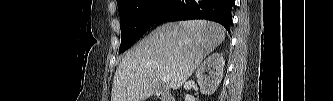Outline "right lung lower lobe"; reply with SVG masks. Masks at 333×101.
<instances>
[{
  "mask_svg": "<svg viewBox=\"0 0 333 101\" xmlns=\"http://www.w3.org/2000/svg\"><path fill=\"white\" fill-rule=\"evenodd\" d=\"M235 0H170L160 22L206 19L220 23L229 31Z\"/></svg>",
  "mask_w": 333,
  "mask_h": 101,
  "instance_id": "obj_1",
  "label": "right lung lower lobe"
}]
</instances>
